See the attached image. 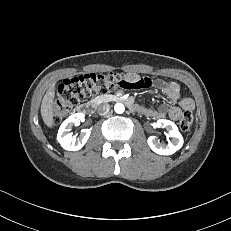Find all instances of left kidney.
Returning a JSON list of instances; mask_svg holds the SVG:
<instances>
[{
	"mask_svg": "<svg viewBox=\"0 0 231 231\" xmlns=\"http://www.w3.org/2000/svg\"><path fill=\"white\" fill-rule=\"evenodd\" d=\"M157 127L165 128L172 140L165 145L155 139L154 136H150L147 142L152 151L160 155H172L183 146V137L172 121L160 119L157 121Z\"/></svg>",
	"mask_w": 231,
	"mask_h": 231,
	"instance_id": "obj_1",
	"label": "left kidney"
}]
</instances>
